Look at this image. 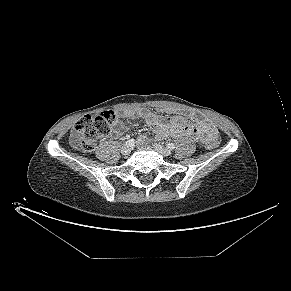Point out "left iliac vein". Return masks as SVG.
Instances as JSON below:
<instances>
[{
    "instance_id": "4c4485c4",
    "label": "left iliac vein",
    "mask_w": 291,
    "mask_h": 291,
    "mask_svg": "<svg viewBox=\"0 0 291 291\" xmlns=\"http://www.w3.org/2000/svg\"><path fill=\"white\" fill-rule=\"evenodd\" d=\"M154 148L155 150H157L159 153H161L164 156H170L172 153L170 149L163 147L160 144H154Z\"/></svg>"
}]
</instances>
